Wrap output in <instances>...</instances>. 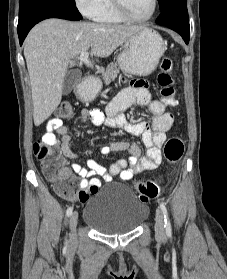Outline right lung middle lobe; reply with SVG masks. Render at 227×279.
<instances>
[{
    "label": "right lung middle lobe",
    "mask_w": 227,
    "mask_h": 279,
    "mask_svg": "<svg viewBox=\"0 0 227 279\" xmlns=\"http://www.w3.org/2000/svg\"><path fill=\"white\" fill-rule=\"evenodd\" d=\"M27 0H20V4L26 2ZM64 2H67L73 6H75V0H62Z\"/></svg>",
    "instance_id": "dd1d6c3e"
}]
</instances>
